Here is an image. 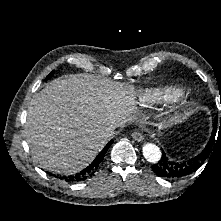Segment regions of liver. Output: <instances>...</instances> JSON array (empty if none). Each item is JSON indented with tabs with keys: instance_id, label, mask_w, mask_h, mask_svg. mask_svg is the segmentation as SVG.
Here are the masks:
<instances>
[{
	"instance_id": "liver-1",
	"label": "liver",
	"mask_w": 221,
	"mask_h": 221,
	"mask_svg": "<svg viewBox=\"0 0 221 221\" xmlns=\"http://www.w3.org/2000/svg\"><path fill=\"white\" fill-rule=\"evenodd\" d=\"M135 95L130 85L89 74L51 82L28 108L25 137L33 159L58 174L79 172L106 144L108 128L136 119Z\"/></svg>"
}]
</instances>
